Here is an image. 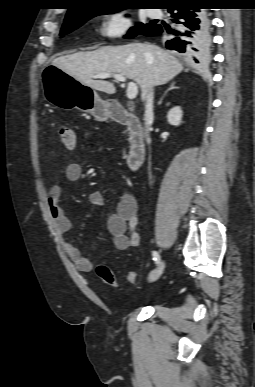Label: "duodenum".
I'll return each instance as SVG.
<instances>
[{"label": "duodenum", "instance_id": "duodenum-1", "mask_svg": "<svg viewBox=\"0 0 255 387\" xmlns=\"http://www.w3.org/2000/svg\"><path fill=\"white\" fill-rule=\"evenodd\" d=\"M108 117L127 127L129 151L126 158V165L131 171H136L142 165L146 152L144 133L140 120L118 103H113L109 106Z\"/></svg>", "mask_w": 255, "mask_h": 387}]
</instances>
